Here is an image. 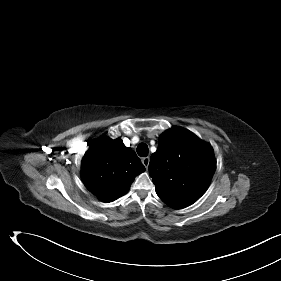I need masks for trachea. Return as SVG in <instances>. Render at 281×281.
I'll return each mask as SVG.
<instances>
[{
    "label": "trachea",
    "instance_id": "trachea-1",
    "mask_svg": "<svg viewBox=\"0 0 281 281\" xmlns=\"http://www.w3.org/2000/svg\"><path fill=\"white\" fill-rule=\"evenodd\" d=\"M149 149L147 144L140 143L137 147V153L140 157H146L148 155Z\"/></svg>",
    "mask_w": 281,
    "mask_h": 281
}]
</instances>
